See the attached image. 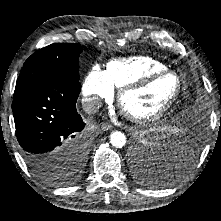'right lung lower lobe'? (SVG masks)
Here are the masks:
<instances>
[{"instance_id": "obj_1", "label": "right lung lower lobe", "mask_w": 221, "mask_h": 221, "mask_svg": "<svg viewBox=\"0 0 221 221\" xmlns=\"http://www.w3.org/2000/svg\"><path fill=\"white\" fill-rule=\"evenodd\" d=\"M80 83L45 82L14 96L17 139L37 173L73 165L87 147L85 123L76 110Z\"/></svg>"}]
</instances>
